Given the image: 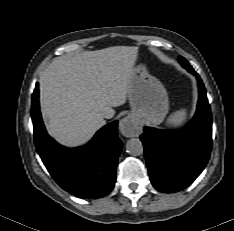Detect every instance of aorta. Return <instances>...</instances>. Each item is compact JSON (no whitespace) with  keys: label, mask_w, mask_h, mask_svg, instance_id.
<instances>
[{"label":"aorta","mask_w":234,"mask_h":231,"mask_svg":"<svg viewBox=\"0 0 234 231\" xmlns=\"http://www.w3.org/2000/svg\"><path fill=\"white\" fill-rule=\"evenodd\" d=\"M126 151L131 155H140L143 151L142 142L137 138H131L126 143Z\"/></svg>","instance_id":"obj_1"}]
</instances>
